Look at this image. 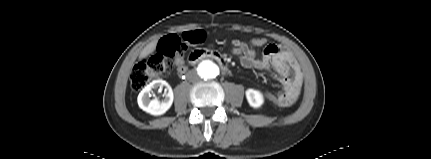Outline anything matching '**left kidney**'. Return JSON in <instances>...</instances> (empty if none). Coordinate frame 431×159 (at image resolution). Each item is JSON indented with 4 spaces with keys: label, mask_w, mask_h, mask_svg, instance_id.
<instances>
[{
    "label": "left kidney",
    "mask_w": 431,
    "mask_h": 159,
    "mask_svg": "<svg viewBox=\"0 0 431 159\" xmlns=\"http://www.w3.org/2000/svg\"><path fill=\"white\" fill-rule=\"evenodd\" d=\"M245 94L247 101L251 107L260 108L263 105L264 97L260 91L254 89H247Z\"/></svg>",
    "instance_id": "1"
}]
</instances>
